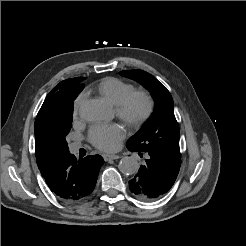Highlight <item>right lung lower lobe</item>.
<instances>
[{
  "mask_svg": "<svg viewBox=\"0 0 246 246\" xmlns=\"http://www.w3.org/2000/svg\"><path fill=\"white\" fill-rule=\"evenodd\" d=\"M104 160L90 155L82 160L67 153L58 158L42 175L50 190L65 202H78L94 189Z\"/></svg>",
  "mask_w": 246,
  "mask_h": 246,
  "instance_id": "obj_1",
  "label": "right lung lower lobe"
}]
</instances>
